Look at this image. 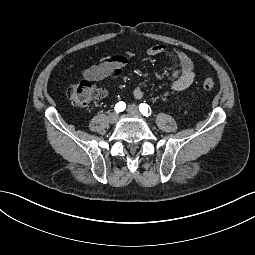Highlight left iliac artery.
Returning a JSON list of instances; mask_svg holds the SVG:
<instances>
[{
    "mask_svg": "<svg viewBox=\"0 0 255 255\" xmlns=\"http://www.w3.org/2000/svg\"><path fill=\"white\" fill-rule=\"evenodd\" d=\"M139 110H140L141 114L146 117H148L151 114V109H150L149 105H147L145 103H141L139 105Z\"/></svg>",
    "mask_w": 255,
    "mask_h": 255,
    "instance_id": "left-iliac-artery-1",
    "label": "left iliac artery"
}]
</instances>
